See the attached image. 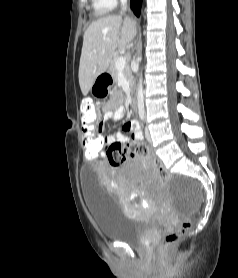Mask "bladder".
<instances>
[{
    "mask_svg": "<svg viewBox=\"0 0 238 278\" xmlns=\"http://www.w3.org/2000/svg\"><path fill=\"white\" fill-rule=\"evenodd\" d=\"M83 180H94L93 167H84ZM83 188L89 209L99 233L106 239L143 246L146 240V221L128 216L114 194L99 186V181H85Z\"/></svg>",
    "mask_w": 238,
    "mask_h": 278,
    "instance_id": "obj_1",
    "label": "bladder"
}]
</instances>
